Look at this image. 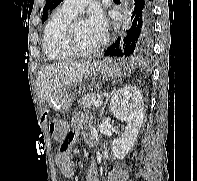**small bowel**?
Segmentation results:
<instances>
[{
    "mask_svg": "<svg viewBox=\"0 0 197 181\" xmlns=\"http://www.w3.org/2000/svg\"><path fill=\"white\" fill-rule=\"evenodd\" d=\"M88 125L89 118L86 115L76 116L72 121L70 129L63 124V130L58 138L61 142H67L68 149L67 151L59 149L55 162L66 177H72L75 173V166L71 158L70 148L76 142L78 135L82 133L86 139L88 137H93L92 133L88 129ZM86 181H99L98 170L94 163L88 168Z\"/></svg>",
    "mask_w": 197,
    "mask_h": 181,
    "instance_id": "c3829d8e",
    "label": "small bowel"
}]
</instances>
